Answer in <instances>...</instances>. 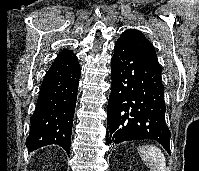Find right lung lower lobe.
<instances>
[{
	"label": "right lung lower lobe",
	"instance_id": "obj_1",
	"mask_svg": "<svg viewBox=\"0 0 199 171\" xmlns=\"http://www.w3.org/2000/svg\"><path fill=\"white\" fill-rule=\"evenodd\" d=\"M80 74L76 56H57L54 60L43 79L30 118L31 129L26 140L28 151L57 144L69 154Z\"/></svg>",
	"mask_w": 199,
	"mask_h": 171
}]
</instances>
